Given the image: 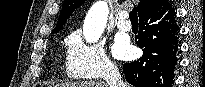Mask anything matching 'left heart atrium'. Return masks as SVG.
Masks as SVG:
<instances>
[{
  "label": "left heart atrium",
  "instance_id": "left-heart-atrium-1",
  "mask_svg": "<svg viewBox=\"0 0 205 87\" xmlns=\"http://www.w3.org/2000/svg\"><path fill=\"white\" fill-rule=\"evenodd\" d=\"M113 51L116 57L127 58L130 56L132 49L125 40H117Z\"/></svg>",
  "mask_w": 205,
  "mask_h": 87
}]
</instances>
